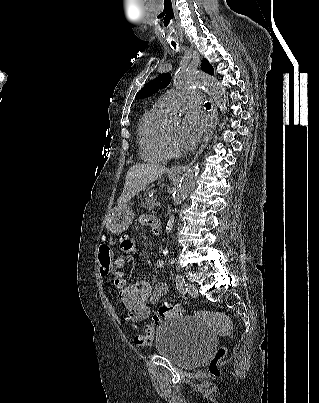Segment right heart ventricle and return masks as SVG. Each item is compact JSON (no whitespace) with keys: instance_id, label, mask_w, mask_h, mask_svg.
Here are the masks:
<instances>
[{"instance_id":"obj_1","label":"right heart ventricle","mask_w":319,"mask_h":403,"mask_svg":"<svg viewBox=\"0 0 319 403\" xmlns=\"http://www.w3.org/2000/svg\"><path fill=\"white\" fill-rule=\"evenodd\" d=\"M168 111L156 104L146 111L139 120L137 138L140 157L149 163H162L168 159L163 150L161 134Z\"/></svg>"}]
</instances>
